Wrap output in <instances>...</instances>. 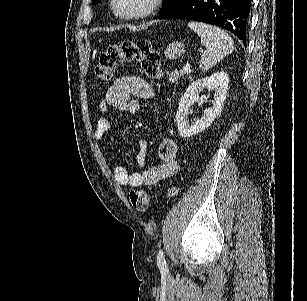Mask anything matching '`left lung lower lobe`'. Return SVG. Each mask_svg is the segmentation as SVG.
Listing matches in <instances>:
<instances>
[{"mask_svg":"<svg viewBox=\"0 0 307 301\" xmlns=\"http://www.w3.org/2000/svg\"><path fill=\"white\" fill-rule=\"evenodd\" d=\"M252 0H179L159 19H188L227 29L246 47Z\"/></svg>","mask_w":307,"mask_h":301,"instance_id":"1","label":"left lung lower lobe"}]
</instances>
